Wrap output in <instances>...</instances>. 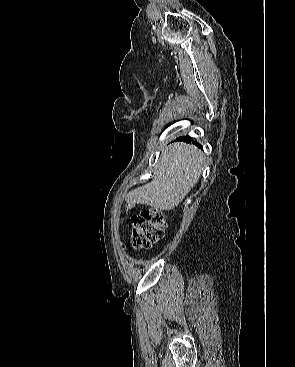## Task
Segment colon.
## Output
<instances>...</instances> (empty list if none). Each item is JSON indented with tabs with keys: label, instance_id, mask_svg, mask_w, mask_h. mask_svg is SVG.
<instances>
[{
	"label": "colon",
	"instance_id": "1",
	"mask_svg": "<svg viewBox=\"0 0 295 367\" xmlns=\"http://www.w3.org/2000/svg\"><path fill=\"white\" fill-rule=\"evenodd\" d=\"M131 242L134 248H149L164 236L165 214L159 209H146L131 218Z\"/></svg>",
	"mask_w": 295,
	"mask_h": 367
}]
</instances>
